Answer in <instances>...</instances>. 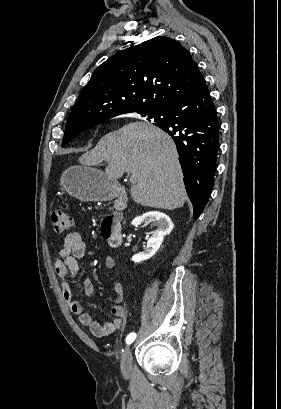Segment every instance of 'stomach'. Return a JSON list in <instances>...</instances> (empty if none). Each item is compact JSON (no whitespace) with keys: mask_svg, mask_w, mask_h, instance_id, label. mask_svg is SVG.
I'll list each match as a JSON object with an SVG mask.
<instances>
[{"mask_svg":"<svg viewBox=\"0 0 281 409\" xmlns=\"http://www.w3.org/2000/svg\"><path fill=\"white\" fill-rule=\"evenodd\" d=\"M60 184L79 200H112L120 192V182L109 178L103 170L92 166H70L64 170Z\"/></svg>","mask_w":281,"mask_h":409,"instance_id":"stomach-1","label":"stomach"}]
</instances>
